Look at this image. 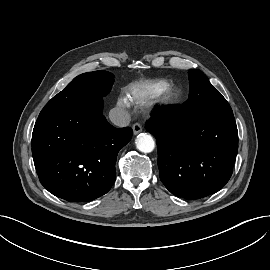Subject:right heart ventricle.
<instances>
[{"mask_svg": "<svg viewBox=\"0 0 270 270\" xmlns=\"http://www.w3.org/2000/svg\"><path fill=\"white\" fill-rule=\"evenodd\" d=\"M169 86L166 80L135 83L127 90V100L133 105L142 106L161 95Z\"/></svg>", "mask_w": 270, "mask_h": 270, "instance_id": "e07e8e85", "label": "right heart ventricle"}]
</instances>
